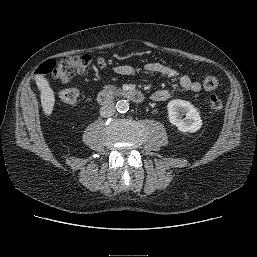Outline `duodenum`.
<instances>
[{"instance_id":"1","label":"duodenum","mask_w":257,"mask_h":257,"mask_svg":"<svg viewBox=\"0 0 257 257\" xmlns=\"http://www.w3.org/2000/svg\"><path fill=\"white\" fill-rule=\"evenodd\" d=\"M125 98L134 103H142L144 100V96L142 92L136 89H125V90H103L98 93L97 101L102 104L106 105L112 102L115 98Z\"/></svg>"}]
</instances>
